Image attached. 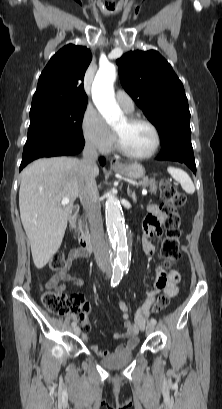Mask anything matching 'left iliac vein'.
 Returning a JSON list of instances; mask_svg holds the SVG:
<instances>
[{
	"label": "left iliac vein",
	"mask_w": 222,
	"mask_h": 409,
	"mask_svg": "<svg viewBox=\"0 0 222 409\" xmlns=\"http://www.w3.org/2000/svg\"><path fill=\"white\" fill-rule=\"evenodd\" d=\"M154 330H155V325L152 324L151 322L148 323V324H147V327H146V332H147L148 334H150V333H152Z\"/></svg>",
	"instance_id": "obj_1"
}]
</instances>
